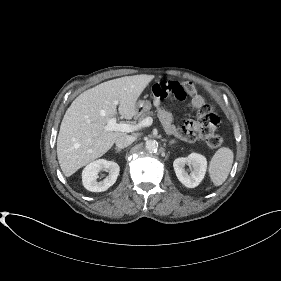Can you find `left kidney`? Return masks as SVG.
Wrapping results in <instances>:
<instances>
[{
	"label": "left kidney",
	"instance_id": "obj_1",
	"mask_svg": "<svg viewBox=\"0 0 281 281\" xmlns=\"http://www.w3.org/2000/svg\"><path fill=\"white\" fill-rule=\"evenodd\" d=\"M192 167V171L189 174L185 169V166ZM174 171L178 180L188 188H194L200 184L203 180L206 169V158L198 153H191L188 157H180L173 162Z\"/></svg>",
	"mask_w": 281,
	"mask_h": 281
}]
</instances>
